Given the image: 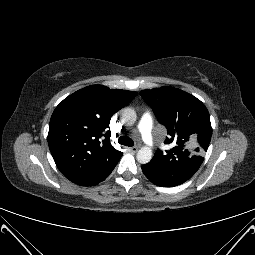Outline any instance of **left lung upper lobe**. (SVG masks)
Wrapping results in <instances>:
<instances>
[{
	"label": "left lung upper lobe",
	"mask_w": 255,
	"mask_h": 255,
	"mask_svg": "<svg viewBox=\"0 0 255 255\" xmlns=\"http://www.w3.org/2000/svg\"><path fill=\"white\" fill-rule=\"evenodd\" d=\"M140 94L167 128L165 144L171 146L166 152L158 149L143 166L158 177L182 184L199 169L208 149L212 133L208 110L199 99L174 87L143 90Z\"/></svg>",
	"instance_id": "5c2ea615"
}]
</instances>
